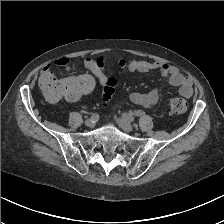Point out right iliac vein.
I'll use <instances>...</instances> for the list:
<instances>
[{
    "label": "right iliac vein",
    "instance_id": "obj_1",
    "mask_svg": "<svg viewBox=\"0 0 224 224\" xmlns=\"http://www.w3.org/2000/svg\"><path fill=\"white\" fill-rule=\"evenodd\" d=\"M85 125H86L87 127H89V128H92V127H94L95 122H94L92 119H87V120L85 121Z\"/></svg>",
    "mask_w": 224,
    "mask_h": 224
}]
</instances>
